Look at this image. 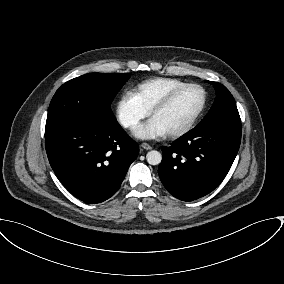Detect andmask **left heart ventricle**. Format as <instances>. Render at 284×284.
I'll use <instances>...</instances> for the list:
<instances>
[{
  "label": "left heart ventricle",
  "instance_id": "obj_1",
  "mask_svg": "<svg viewBox=\"0 0 284 284\" xmlns=\"http://www.w3.org/2000/svg\"><path fill=\"white\" fill-rule=\"evenodd\" d=\"M202 92L189 88L180 93L165 109L152 117L164 130L169 132L185 125L195 114L202 102Z\"/></svg>",
  "mask_w": 284,
  "mask_h": 284
}]
</instances>
